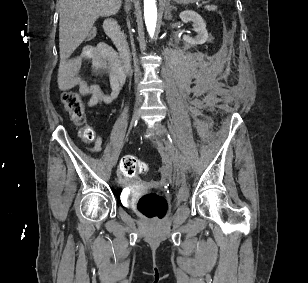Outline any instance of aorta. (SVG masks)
Listing matches in <instances>:
<instances>
[{"label":"aorta","mask_w":308,"mask_h":283,"mask_svg":"<svg viewBox=\"0 0 308 283\" xmlns=\"http://www.w3.org/2000/svg\"><path fill=\"white\" fill-rule=\"evenodd\" d=\"M144 17L147 31L153 37L157 21L156 0H144Z\"/></svg>","instance_id":"obj_1"}]
</instances>
